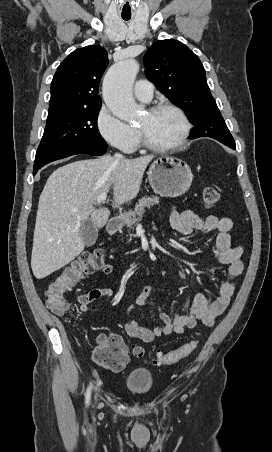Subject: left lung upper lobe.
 Listing matches in <instances>:
<instances>
[{"instance_id": "5c2ea615", "label": "left lung upper lobe", "mask_w": 272, "mask_h": 452, "mask_svg": "<svg viewBox=\"0 0 272 452\" xmlns=\"http://www.w3.org/2000/svg\"><path fill=\"white\" fill-rule=\"evenodd\" d=\"M147 78L194 124L191 135L235 141L210 93L205 69L186 45L166 39L154 43L143 58Z\"/></svg>"}]
</instances>
